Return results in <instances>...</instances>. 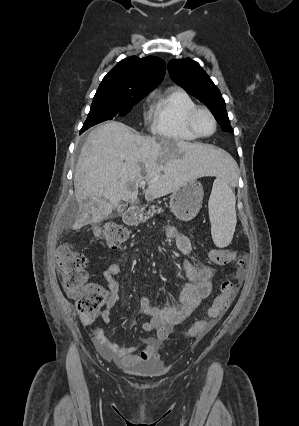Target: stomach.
<instances>
[{"instance_id":"obj_1","label":"stomach","mask_w":299,"mask_h":426,"mask_svg":"<svg viewBox=\"0 0 299 426\" xmlns=\"http://www.w3.org/2000/svg\"><path fill=\"white\" fill-rule=\"evenodd\" d=\"M203 197L202 185L197 181H188L173 191L170 209L178 219L190 221L198 214Z\"/></svg>"}]
</instances>
